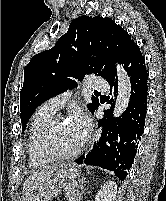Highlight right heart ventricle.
Listing matches in <instances>:
<instances>
[{
	"instance_id": "1",
	"label": "right heart ventricle",
	"mask_w": 166,
	"mask_h": 201,
	"mask_svg": "<svg viewBox=\"0 0 166 201\" xmlns=\"http://www.w3.org/2000/svg\"><path fill=\"white\" fill-rule=\"evenodd\" d=\"M56 112H53L45 107H41L38 109L34 115L32 116L30 128H29V135H28V145L27 151L29 156V165L32 168H38L40 166L46 165L51 163V160L43 159L40 160L37 156L35 143H36V136L40 127L51 119Z\"/></svg>"
}]
</instances>
